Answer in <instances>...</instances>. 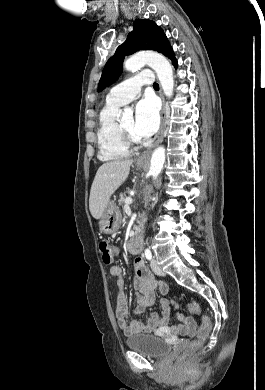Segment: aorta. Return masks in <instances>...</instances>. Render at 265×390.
<instances>
[{
  "instance_id": "aorta-1",
  "label": "aorta",
  "mask_w": 265,
  "mask_h": 390,
  "mask_svg": "<svg viewBox=\"0 0 265 390\" xmlns=\"http://www.w3.org/2000/svg\"><path fill=\"white\" fill-rule=\"evenodd\" d=\"M144 65L150 66L155 70L164 94L167 97H172L174 88L173 70L169 61L161 54L156 52L137 53L127 59L124 63V68L127 71H136ZM123 120L133 118V110L129 107L124 108L122 112ZM165 162V148L157 147L151 157L150 174L156 179L163 169Z\"/></svg>"
}]
</instances>
